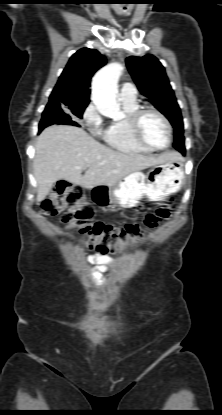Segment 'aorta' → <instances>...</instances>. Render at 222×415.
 <instances>
[{"instance_id":"obj_1","label":"aorta","mask_w":222,"mask_h":415,"mask_svg":"<svg viewBox=\"0 0 222 415\" xmlns=\"http://www.w3.org/2000/svg\"><path fill=\"white\" fill-rule=\"evenodd\" d=\"M123 72L120 63H110L101 68L93 77L92 101L100 114L119 118L122 113L116 100L118 80Z\"/></svg>"}]
</instances>
